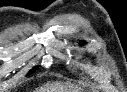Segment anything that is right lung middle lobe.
Listing matches in <instances>:
<instances>
[{"label": "right lung middle lobe", "instance_id": "1", "mask_svg": "<svg viewBox=\"0 0 127 92\" xmlns=\"http://www.w3.org/2000/svg\"><path fill=\"white\" fill-rule=\"evenodd\" d=\"M36 69H37V67H34L28 74L33 73Z\"/></svg>", "mask_w": 127, "mask_h": 92}]
</instances>
